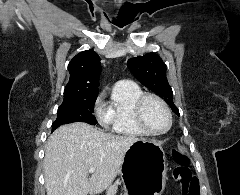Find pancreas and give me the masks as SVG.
Listing matches in <instances>:
<instances>
[{
  "label": "pancreas",
  "instance_id": "cf45deb5",
  "mask_svg": "<svg viewBox=\"0 0 240 195\" xmlns=\"http://www.w3.org/2000/svg\"><path fill=\"white\" fill-rule=\"evenodd\" d=\"M116 189H111V191H109V195H111V193H115Z\"/></svg>",
  "mask_w": 240,
  "mask_h": 195
}]
</instances>
